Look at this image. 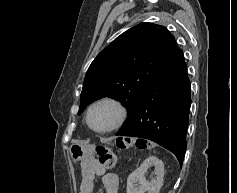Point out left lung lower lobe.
Returning <instances> with one entry per match:
<instances>
[{
    "instance_id": "obj_1",
    "label": "left lung lower lobe",
    "mask_w": 237,
    "mask_h": 193,
    "mask_svg": "<svg viewBox=\"0 0 237 193\" xmlns=\"http://www.w3.org/2000/svg\"><path fill=\"white\" fill-rule=\"evenodd\" d=\"M190 105V81L178 49L146 90L133 119L116 135L154 141L171 151L182 166Z\"/></svg>"
}]
</instances>
